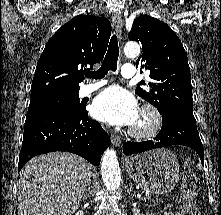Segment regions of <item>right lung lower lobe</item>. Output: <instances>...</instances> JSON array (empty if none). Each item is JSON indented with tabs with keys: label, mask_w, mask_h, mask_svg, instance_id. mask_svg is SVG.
<instances>
[{
	"label": "right lung lower lobe",
	"mask_w": 221,
	"mask_h": 215,
	"mask_svg": "<svg viewBox=\"0 0 221 215\" xmlns=\"http://www.w3.org/2000/svg\"><path fill=\"white\" fill-rule=\"evenodd\" d=\"M110 137L89 119L85 106L76 114L46 112L26 117L18 172L32 157L52 151H68L98 165Z\"/></svg>",
	"instance_id": "1"
}]
</instances>
